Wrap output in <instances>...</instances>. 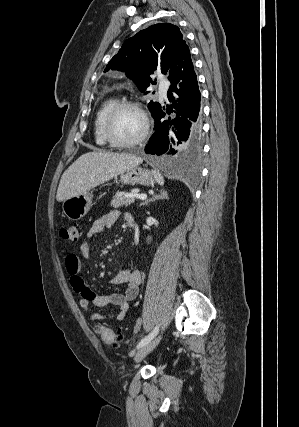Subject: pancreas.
<instances>
[{
  "mask_svg": "<svg viewBox=\"0 0 299 427\" xmlns=\"http://www.w3.org/2000/svg\"><path fill=\"white\" fill-rule=\"evenodd\" d=\"M126 194L127 193L116 194L111 201V206L113 208H119L123 206H128L135 201V198L126 197Z\"/></svg>",
  "mask_w": 299,
  "mask_h": 427,
  "instance_id": "obj_1",
  "label": "pancreas"
}]
</instances>
